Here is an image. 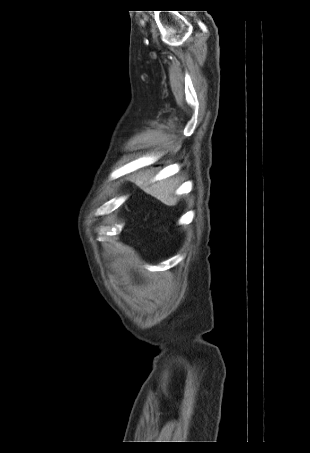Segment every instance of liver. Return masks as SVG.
I'll list each match as a JSON object with an SVG mask.
<instances>
[{"label":"liver","instance_id":"1","mask_svg":"<svg viewBox=\"0 0 310 453\" xmlns=\"http://www.w3.org/2000/svg\"><path fill=\"white\" fill-rule=\"evenodd\" d=\"M152 176L147 173H140L134 177V181L138 186L143 187L147 194L157 198L162 203L168 206L177 204V197L174 195L177 183L173 180H162L156 183H151Z\"/></svg>","mask_w":310,"mask_h":453}]
</instances>
